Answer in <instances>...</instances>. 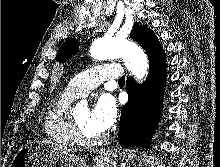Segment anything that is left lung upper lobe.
<instances>
[{"label":"left lung upper lobe","instance_id":"obj_1","mask_svg":"<svg viewBox=\"0 0 220 167\" xmlns=\"http://www.w3.org/2000/svg\"><path fill=\"white\" fill-rule=\"evenodd\" d=\"M130 37L144 48L148 56L157 54L158 52L163 50L158 41V38L155 36L153 31H151L146 26L136 23L133 27ZM78 47L79 44L77 43L75 38L68 39L59 49L56 60L58 62L64 63L66 60L71 58L72 55H75Z\"/></svg>","mask_w":220,"mask_h":167}]
</instances>
